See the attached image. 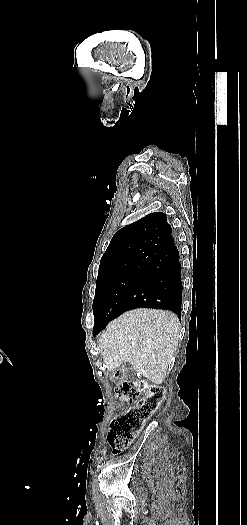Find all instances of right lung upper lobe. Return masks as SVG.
I'll return each mask as SVG.
<instances>
[{"label": "right lung upper lobe", "mask_w": 247, "mask_h": 525, "mask_svg": "<svg viewBox=\"0 0 247 525\" xmlns=\"http://www.w3.org/2000/svg\"><path fill=\"white\" fill-rule=\"evenodd\" d=\"M171 226L162 212H154L117 231L103 254L99 272L129 268L153 256L173 241Z\"/></svg>", "instance_id": "cb5924a9"}]
</instances>
